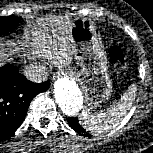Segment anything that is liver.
I'll return each mask as SVG.
<instances>
[{"label":"liver","instance_id":"obj_1","mask_svg":"<svg viewBox=\"0 0 153 153\" xmlns=\"http://www.w3.org/2000/svg\"><path fill=\"white\" fill-rule=\"evenodd\" d=\"M40 23H42V20H40ZM43 28L33 32L35 36L32 44L34 54L43 55L45 53L49 57L55 58L59 66L69 65L75 53L71 38V21L69 19L56 20V23L50 28L51 35L48 34V29L45 26ZM15 51V49L6 48L3 44H0V66Z\"/></svg>","mask_w":153,"mask_h":153}]
</instances>
